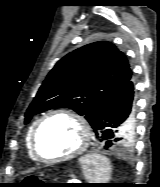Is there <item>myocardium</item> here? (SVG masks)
<instances>
[{
  "mask_svg": "<svg viewBox=\"0 0 160 187\" xmlns=\"http://www.w3.org/2000/svg\"><path fill=\"white\" fill-rule=\"evenodd\" d=\"M57 115L69 116V117H72L74 120H76L82 128L83 139L80 145L72 152L65 154V155L58 156V157H54V158H45L40 154L38 150L37 137L44 122L48 120L49 118L53 116H57ZM91 137H92V128H91L89 121L86 119L84 115L74 110L58 109V110H53V111L46 113L36 122L33 128V131H32V135H31V149L37 160H39L42 163L53 164V163L62 162L68 159H72V158H75L81 155L88 148L90 141H91Z\"/></svg>",
  "mask_w": 160,
  "mask_h": 187,
  "instance_id": "myocardium-1",
  "label": "myocardium"
}]
</instances>
